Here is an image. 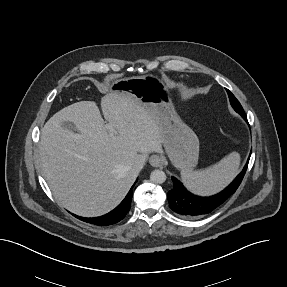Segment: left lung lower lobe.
Returning <instances> with one entry per match:
<instances>
[{"mask_svg": "<svg viewBox=\"0 0 287 287\" xmlns=\"http://www.w3.org/2000/svg\"><path fill=\"white\" fill-rule=\"evenodd\" d=\"M240 115L246 120L245 114ZM248 162L249 160L242 172L228 187L210 197H200L190 193L179 180L172 177L173 187L167 194L170 208L186 218H197L211 213L236 192L243 180Z\"/></svg>", "mask_w": 287, "mask_h": 287, "instance_id": "0a47b994", "label": "left lung lower lobe"}]
</instances>
